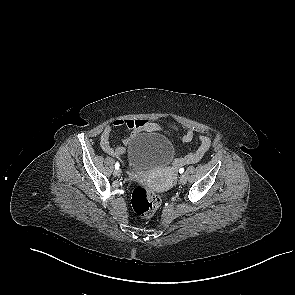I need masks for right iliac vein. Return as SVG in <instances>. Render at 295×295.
<instances>
[{
	"mask_svg": "<svg viewBox=\"0 0 295 295\" xmlns=\"http://www.w3.org/2000/svg\"><path fill=\"white\" fill-rule=\"evenodd\" d=\"M121 175V169L114 170V176L119 177Z\"/></svg>",
	"mask_w": 295,
	"mask_h": 295,
	"instance_id": "1",
	"label": "right iliac vein"
}]
</instances>
